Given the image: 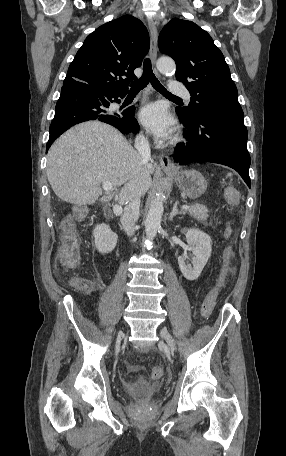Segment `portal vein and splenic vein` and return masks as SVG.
<instances>
[{
	"label": "portal vein and splenic vein",
	"mask_w": 286,
	"mask_h": 456,
	"mask_svg": "<svg viewBox=\"0 0 286 456\" xmlns=\"http://www.w3.org/2000/svg\"><path fill=\"white\" fill-rule=\"evenodd\" d=\"M102 187H103L104 191L109 192L113 186H112V183H110V182H104L102 184ZM189 207H190L189 205H183L182 209L187 210V209H189ZM113 211L116 215H120L122 213V207L120 205H114Z\"/></svg>",
	"instance_id": "1"
}]
</instances>
